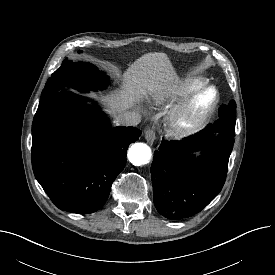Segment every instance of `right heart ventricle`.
<instances>
[{
  "mask_svg": "<svg viewBox=\"0 0 275 275\" xmlns=\"http://www.w3.org/2000/svg\"><path fill=\"white\" fill-rule=\"evenodd\" d=\"M207 83L203 77H189L177 81L153 97L152 103L159 107H169L180 102L190 92L205 86Z\"/></svg>",
  "mask_w": 275,
  "mask_h": 275,
  "instance_id": "right-heart-ventricle-1",
  "label": "right heart ventricle"
}]
</instances>
